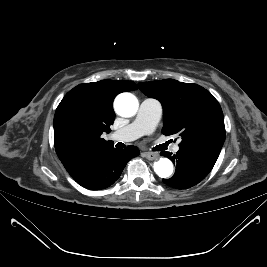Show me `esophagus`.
<instances>
[{
	"label": "esophagus",
	"instance_id": "34e87169",
	"mask_svg": "<svg viewBox=\"0 0 267 267\" xmlns=\"http://www.w3.org/2000/svg\"><path fill=\"white\" fill-rule=\"evenodd\" d=\"M144 156L149 160H156L159 157L158 154L152 152H145Z\"/></svg>",
	"mask_w": 267,
	"mask_h": 267
}]
</instances>
